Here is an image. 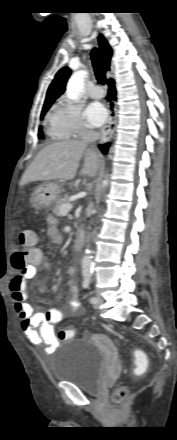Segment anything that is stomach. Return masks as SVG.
Here are the masks:
<instances>
[{"mask_svg":"<svg viewBox=\"0 0 177 440\" xmlns=\"http://www.w3.org/2000/svg\"><path fill=\"white\" fill-rule=\"evenodd\" d=\"M60 191V185L57 181L43 183L31 194V207L36 210L52 208L58 200Z\"/></svg>","mask_w":177,"mask_h":440,"instance_id":"0dacf381","label":"stomach"}]
</instances>
